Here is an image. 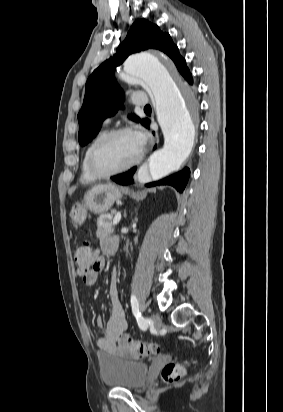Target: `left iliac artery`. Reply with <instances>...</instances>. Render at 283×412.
Here are the masks:
<instances>
[{
    "label": "left iliac artery",
    "mask_w": 283,
    "mask_h": 412,
    "mask_svg": "<svg viewBox=\"0 0 283 412\" xmlns=\"http://www.w3.org/2000/svg\"><path fill=\"white\" fill-rule=\"evenodd\" d=\"M131 307L133 314L137 320L138 326L140 329L145 330L147 328V321L142 317L139 310V303L135 295H131Z\"/></svg>",
    "instance_id": "44dca946"
}]
</instances>
